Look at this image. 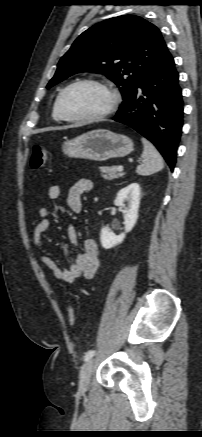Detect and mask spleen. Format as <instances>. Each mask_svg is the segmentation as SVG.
<instances>
[{
	"label": "spleen",
	"instance_id": "3e777b00",
	"mask_svg": "<svg viewBox=\"0 0 202 437\" xmlns=\"http://www.w3.org/2000/svg\"><path fill=\"white\" fill-rule=\"evenodd\" d=\"M144 150L142 157L144 159L143 163L137 166L136 172L142 176H148L161 171L164 168L163 158L155 148V146L149 142L147 139H141Z\"/></svg>",
	"mask_w": 202,
	"mask_h": 437
}]
</instances>
